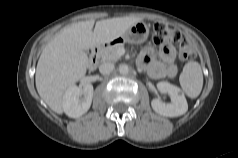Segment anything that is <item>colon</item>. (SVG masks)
<instances>
[{
  "label": "colon",
  "instance_id": "1",
  "mask_svg": "<svg viewBox=\"0 0 238 158\" xmlns=\"http://www.w3.org/2000/svg\"><path fill=\"white\" fill-rule=\"evenodd\" d=\"M152 40L157 46L177 44L181 61H191L196 57L193 46L183 38L181 32L165 23L157 22L153 25Z\"/></svg>",
  "mask_w": 238,
  "mask_h": 158
}]
</instances>
